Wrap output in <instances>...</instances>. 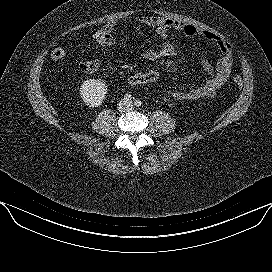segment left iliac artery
<instances>
[{
	"label": "left iliac artery",
	"instance_id": "1",
	"mask_svg": "<svg viewBox=\"0 0 272 272\" xmlns=\"http://www.w3.org/2000/svg\"><path fill=\"white\" fill-rule=\"evenodd\" d=\"M134 105H135L136 107H141L142 102H141L140 100H135V101H134Z\"/></svg>",
	"mask_w": 272,
	"mask_h": 272
}]
</instances>
